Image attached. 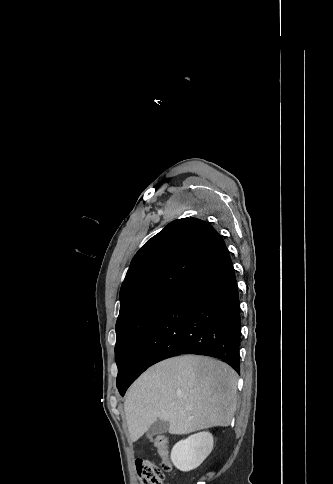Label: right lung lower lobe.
Returning <instances> with one entry per match:
<instances>
[{
  "label": "right lung lower lobe",
  "instance_id": "right-lung-lower-lobe-1",
  "mask_svg": "<svg viewBox=\"0 0 333 484\" xmlns=\"http://www.w3.org/2000/svg\"><path fill=\"white\" fill-rule=\"evenodd\" d=\"M240 303L229 254L174 291L140 342L123 396L152 364L179 354L220 358L239 367Z\"/></svg>",
  "mask_w": 333,
  "mask_h": 484
}]
</instances>
